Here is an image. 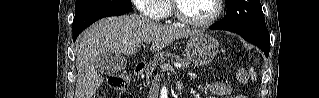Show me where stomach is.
I'll return each mask as SVG.
<instances>
[{
    "mask_svg": "<svg viewBox=\"0 0 319 98\" xmlns=\"http://www.w3.org/2000/svg\"><path fill=\"white\" fill-rule=\"evenodd\" d=\"M219 51L217 40L204 33H196L190 36L185 56L195 66H201L211 62Z\"/></svg>",
    "mask_w": 319,
    "mask_h": 98,
    "instance_id": "stomach-1",
    "label": "stomach"
}]
</instances>
